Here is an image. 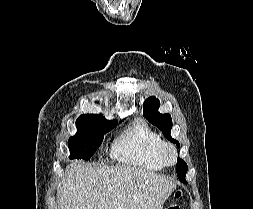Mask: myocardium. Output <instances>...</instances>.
<instances>
[{"label":"myocardium","instance_id":"f54148a6","mask_svg":"<svg viewBox=\"0 0 253 209\" xmlns=\"http://www.w3.org/2000/svg\"><path fill=\"white\" fill-rule=\"evenodd\" d=\"M160 154L165 165L172 166L176 164L178 153L176 147L172 143L163 141Z\"/></svg>","mask_w":253,"mask_h":209}]
</instances>
